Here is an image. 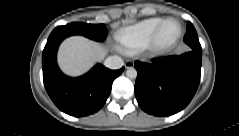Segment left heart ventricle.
Returning a JSON list of instances; mask_svg holds the SVG:
<instances>
[{
    "label": "left heart ventricle",
    "instance_id": "1",
    "mask_svg": "<svg viewBox=\"0 0 239 136\" xmlns=\"http://www.w3.org/2000/svg\"><path fill=\"white\" fill-rule=\"evenodd\" d=\"M178 26L175 23L168 24L161 32L159 42L161 45H167L173 42L178 34Z\"/></svg>",
    "mask_w": 239,
    "mask_h": 136
}]
</instances>
